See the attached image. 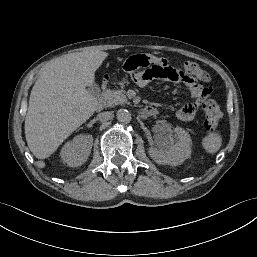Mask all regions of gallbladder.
Wrapping results in <instances>:
<instances>
[{
	"mask_svg": "<svg viewBox=\"0 0 257 257\" xmlns=\"http://www.w3.org/2000/svg\"><path fill=\"white\" fill-rule=\"evenodd\" d=\"M88 91L95 97H98L100 94V88L98 84L94 83L88 87Z\"/></svg>",
	"mask_w": 257,
	"mask_h": 257,
	"instance_id": "bac80fb5",
	"label": "gallbladder"
}]
</instances>
